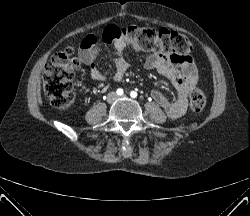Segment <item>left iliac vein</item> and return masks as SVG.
<instances>
[{
  "label": "left iliac vein",
  "instance_id": "4c4485c4",
  "mask_svg": "<svg viewBox=\"0 0 250 216\" xmlns=\"http://www.w3.org/2000/svg\"><path fill=\"white\" fill-rule=\"evenodd\" d=\"M126 96L125 95H123V96H120V98H125Z\"/></svg>",
  "mask_w": 250,
  "mask_h": 216
}]
</instances>
